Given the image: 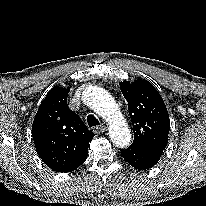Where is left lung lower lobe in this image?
I'll return each mask as SVG.
<instances>
[{
    "label": "left lung lower lobe",
    "mask_w": 206,
    "mask_h": 206,
    "mask_svg": "<svg viewBox=\"0 0 206 206\" xmlns=\"http://www.w3.org/2000/svg\"><path fill=\"white\" fill-rule=\"evenodd\" d=\"M121 154L124 159L138 170H146L158 163L162 153L150 152L142 149L129 147L122 149Z\"/></svg>",
    "instance_id": "1"
}]
</instances>
